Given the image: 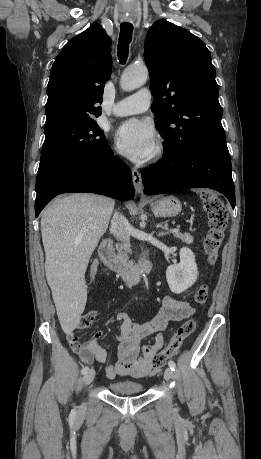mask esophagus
Wrapping results in <instances>:
<instances>
[{"label": "esophagus", "instance_id": "esophagus-1", "mask_svg": "<svg viewBox=\"0 0 261 459\" xmlns=\"http://www.w3.org/2000/svg\"><path fill=\"white\" fill-rule=\"evenodd\" d=\"M131 171H132V179H133V185H134L135 191L137 194L143 196V182H142L141 173L136 168H132Z\"/></svg>", "mask_w": 261, "mask_h": 459}]
</instances>
